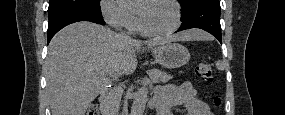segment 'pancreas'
<instances>
[{"mask_svg":"<svg viewBox=\"0 0 285 115\" xmlns=\"http://www.w3.org/2000/svg\"><path fill=\"white\" fill-rule=\"evenodd\" d=\"M149 76L151 77L153 82L160 81V82L166 83L170 79H172V76L170 74L160 71L158 69H152L149 72ZM122 94H123V89L121 87H116L113 90H111L108 99L110 102V106L112 108L117 109L119 107Z\"/></svg>","mask_w":285,"mask_h":115,"instance_id":"cf45deb5","label":"pancreas"}]
</instances>
